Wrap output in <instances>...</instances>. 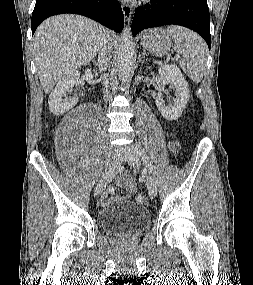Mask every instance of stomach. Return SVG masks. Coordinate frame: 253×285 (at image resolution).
<instances>
[{
  "label": "stomach",
  "instance_id": "0dacf381",
  "mask_svg": "<svg viewBox=\"0 0 253 285\" xmlns=\"http://www.w3.org/2000/svg\"><path fill=\"white\" fill-rule=\"evenodd\" d=\"M141 45L158 57L166 55L173 47L171 36L161 28L145 31L141 37Z\"/></svg>",
  "mask_w": 253,
  "mask_h": 285
}]
</instances>
